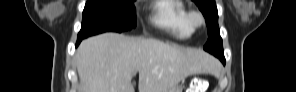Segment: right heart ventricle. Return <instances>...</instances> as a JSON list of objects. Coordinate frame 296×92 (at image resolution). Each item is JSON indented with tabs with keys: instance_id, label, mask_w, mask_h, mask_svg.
Instances as JSON below:
<instances>
[{
	"instance_id": "e07e8e85",
	"label": "right heart ventricle",
	"mask_w": 296,
	"mask_h": 92,
	"mask_svg": "<svg viewBox=\"0 0 296 92\" xmlns=\"http://www.w3.org/2000/svg\"><path fill=\"white\" fill-rule=\"evenodd\" d=\"M189 10L182 1H157L152 18L154 25L177 38L191 36L193 29L188 21Z\"/></svg>"
}]
</instances>
